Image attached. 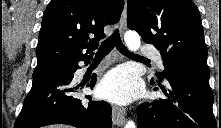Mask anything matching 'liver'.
<instances>
[{
	"mask_svg": "<svg viewBox=\"0 0 221 128\" xmlns=\"http://www.w3.org/2000/svg\"><path fill=\"white\" fill-rule=\"evenodd\" d=\"M49 128H70V127L67 125H52Z\"/></svg>",
	"mask_w": 221,
	"mask_h": 128,
	"instance_id": "liver-1",
	"label": "liver"
}]
</instances>
